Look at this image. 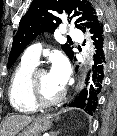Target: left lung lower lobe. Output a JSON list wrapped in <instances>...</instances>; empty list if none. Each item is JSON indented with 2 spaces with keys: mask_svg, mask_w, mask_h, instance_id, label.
I'll use <instances>...</instances> for the list:
<instances>
[{
  "mask_svg": "<svg viewBox=\"0 0 117 136\" xmlns=\"http://www.w3.org/2000/svg\"><path fill=\"white\" fill-rule=\"evenodd\" d=\"M90 33L93 34L91 38L95 46L94 65L88 73L85 87L70 106L81 108L88 114L93 115L109 65V50L102 23L93 27Z\"/></svg>",
  "mask_w": 117,
  "mask_h": 136,
  "instance_id": "obj_1",
  "label": "left lung lower lobe"
}]
</instances>
